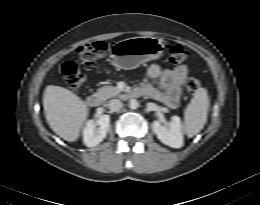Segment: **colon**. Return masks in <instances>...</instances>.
<instances>
[{"instance_id":"colon-1","label":"colon","mask_w":260,"mask_h":205,"mask_svg":"<svg viewBox=\"0 0 260 205\" xmlns=\"http://www.w3.org/2000/svg\"><path fill=\"white\" fill-rule=\"evenodd\" d=\"M106 51L104 42H92L78 46L75 49V54L79 61L83 64L91 65L103 58ZM169 60L172 63H181L189 58L188 50L179 44L171 43L167 46ZM62 74L65 84L71 90H78L85 81L84 73L79 69L74 61H65L62 65ZM187 91L190 94H195L200 83L195 78H190L187 81Z\"/></svg>"}]
</instances>
